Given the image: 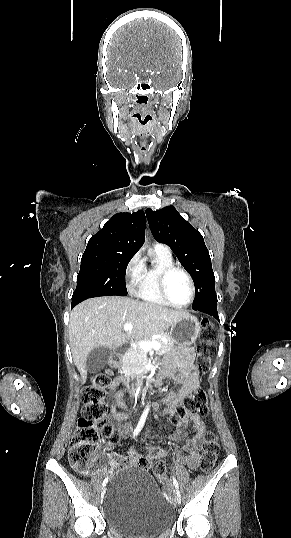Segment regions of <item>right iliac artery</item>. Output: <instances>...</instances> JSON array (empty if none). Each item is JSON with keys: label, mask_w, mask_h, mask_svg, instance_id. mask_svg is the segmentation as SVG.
<instances>
[{"label": "right iliac artery", "mask_w": 291, "mask_h": 538, "mask_svg": "<svg viewBox=\"0 0 291 538\" xmlns=\"http://www.w3.org/2000/svg\"><path fill=\"white\" fill-rule=\"evenodd\" d=\"M146 417H147V414H146V413H143L142 416H141V418H140V421H139L137 427H136L135 430H134L133 438H134L135 436H137L138 433H139V432L141 431V429L143 428L144 423H145V421H146ZM107 482H108V477H106V478L104 479V481H103V483H102V486H103V487L106 486Z\"/></svg>", "instance_id": "1"}]
</instances>
